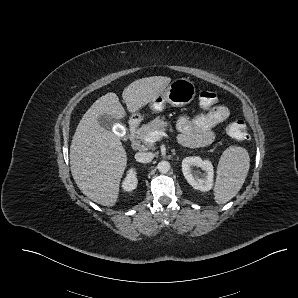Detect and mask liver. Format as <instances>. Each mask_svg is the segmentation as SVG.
Wrapping results in <instances>:
<instances>
[{"label":"liver","mask_w":298,"mask_h":298,"mask_svg":"<svg viewBox=\"0 0 298 298\" xmlns=\"http://www.w3.org/2000/svg\"><path fill=\"white\" fill-rule=\"evenodd\" d=\"M167 76L144 77L122 92L128 112L134 114L161 95L171 82ZM120 120L126 116L116 93L97 99L80 120L70 146V169L81 192L103 206H114L127 155L120 138L98 123L100 115Z\"/></svg>","instance_id":"liver-1"}]
</instances>
